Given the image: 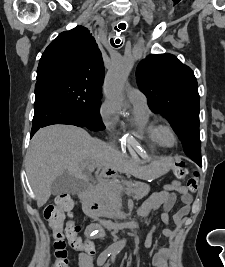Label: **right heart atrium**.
<instances>
[{
  "label": "right heart atrium",
  "instance_id": "d8ad5b80",
  "mask_svg": "<svg viewBox=\"0 0 225 267\" xmlns=\"http://www.w3.org/2000/svg\"><path fill=\"white\" fill-rule=\"evenodd\" d=\"M99 114L105 127L110 131L113 130L118 119L116 105L110 99L104 100L100 106Z\"/></svg>",
  "mask_w": 225,
  "mask_h": 267
}]
</instances>
